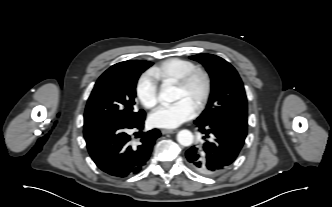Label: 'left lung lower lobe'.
I'll return each mask as SVG.
<instances>
[{
	"mask_svg": "<svg viewBox=\"0 0 332 207\" xmlns=\"http://www.w3.org/2000/svg\"><path fill=\"white\" fill-rule=\"evenodd\" d=\"M204 142L186 151L189 166L196 172L218 175L238 157L247 135V118L230 117L211 123H196Z\"/></svg>",
	"mask_w": 332,
	"mask_h": 207,
	"instance_id": "obj_1",
	"label": "left lung lower lobe"
}]
</instances>
